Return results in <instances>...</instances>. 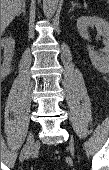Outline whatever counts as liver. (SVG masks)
Masks as SVG:
<instances>
[{
	"label": "liver",
	"instance_id": "liver-1",
	"mask_svg": "<svg viewBox=\"0 0 109 170\" xmlns=\"http://www.w3.org/2000/svg\"><path fill=\"white\" fill-rule=\"evenodd\" d=\"M24 0H1V30L11 23L20 11Z\"/></svg>",
	"mask_w": 109,
	"mask_h": 170
}]
</instances>
